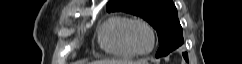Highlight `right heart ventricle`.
Segmentation results:
<instances>
[{
  "label": "right heart ventricle",
  "mask_w": 242,
  "mask_h": 64,
  "mask_svg": "<svg viewBox=\"0 0 242 64\" xmlns=\"http://www.w3.org/2000/svg\"><path fill=\"white\" fill-rule=\"evenodd\" d=\"M131 20L128 16L118 15L110 18L102 26L99 33V44L105 52L121 58L136 56L125 39V30Z\"/></svg>",
  "instance_id": "e07e8e85"
}]
</instances>
